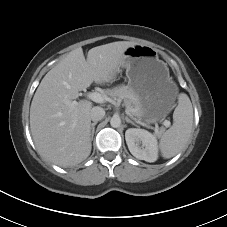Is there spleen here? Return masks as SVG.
Segmentation results:
<instances>
[{
    "label": "spleen",
    "instance_id": "3e777b00",
    "mask_svg": "<svg viewBox=\"0 0 227 227\" xmlns=\"http://www.w3.org/2000/svg\"><path fill=\"white\" fill-rule=\"evenodd\" d=\"M173 125L161 136L159 147L164 158L177 155L186 146L192 132L193 108L189 97L180 93L173 113Z\"/></svg>",
    "mask_w": 227,
    "mask_h": 227
}]
</instances>
